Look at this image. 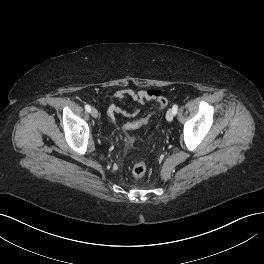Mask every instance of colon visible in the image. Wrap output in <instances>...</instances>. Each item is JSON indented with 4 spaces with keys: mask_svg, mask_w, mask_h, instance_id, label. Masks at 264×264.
<instances>
[{
    "mask_svg": "<svg viewBox=\"0 0 264 264\" xmlns=\"http://www.w3.org/2000/svg\"><path fill=\"white\" fill-rule=\"evenodd\" d=\"M166 105H167V100L163 96L158 97L155 101V107L158 110L166 107ZM149 119H150V116H146L136 121L129 122L125 125V129L126 130L138 129L141 126L145 125L149 121ZM146 171H147V165L145 161H139L136 164H134V166L132 167V175L135 178L143 177Z\"/></svg>",
    "mask_w": 264,
    "mask_h": 264,
    "instance_id": "5ec220e1",
    "label": "colon"
}]
</instances>
